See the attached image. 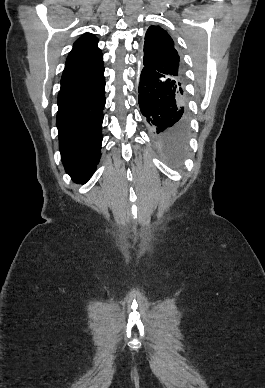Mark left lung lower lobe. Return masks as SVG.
<instances>
[{"instance_id":"obj_1","label":"left lung lower lobe","mask_w":265,"mask_h":388,"mask_svg":"<svg viewBox=\"0 0 265 388\" xmlns=\"http://www.w3.org/2000/svg\"><path fill=\"white\" fill-rule=\"evenodd\" d=\"M138 93L140 110L152 140L161 147L169 160L179 164L186 148L188 131L182 84L143 66Z\"/></svg>"}]
</instances>
